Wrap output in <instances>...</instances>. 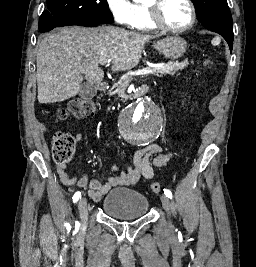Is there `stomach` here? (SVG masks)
Here are the masks:
<instances>
[{
	"label": "stomach",
	"instance_id": "stomach-1",
	"mask_svg": "<svg viewBox=\"0 0 256 267\" xmlns=\"http://www.w3.org/2000/svg\"><path fill=\"white\" fill-rule=\"evenodd\" d=\"M154 48L164 56V58H171V60H177L181 58L186 52L187 44L180 36H166L162 40H157L154 44Z\"/></svg>",
	"mask_w": 256,
	"mask_h": 267
}]
</instances>
